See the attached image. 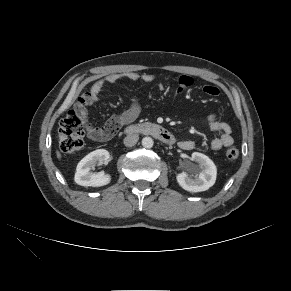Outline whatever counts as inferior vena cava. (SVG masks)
Segmentation results:
<instances>
[{
    "label": "inferior vena cava",
    "mask_w": 291,
    "mask_h": 291,
    "mask_svg": "<svg viewBox=\"0 0 291 291\" xmlns=\"http://www.w3.org/2000/svg\"><path fill=\"white\" fill-rule=\"evenodd\" d=\"M139 136L137 134H130L124 138V145L128 147L134 146L138 142Z\"/></svg>",
    "instance_id": "inferior-vena-cava-1"
}]
</instances>
